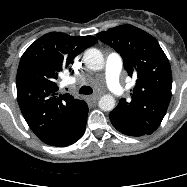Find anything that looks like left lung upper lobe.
Returning a JSON list of instances; mask_svg holds the SVG:
<instances>
[{
    "mask_svg": "<svg viewBox=\"0 0 187 187\" xmlns=\"http://www.w3.org/2000/svg\"><path fill=\"white\" fill-rule=\"evenodd\" d=\"M96 36L122 56L128 75L137 78L131 101L120 99L112 112L147 134L153 133L171 99V67L165 53L153 36L132 25L111 28Z\"/></svg>",
    "mask_w": 187,
    "mask_h": 187,
    "instance_id": "obj_1",
    "label": "left lung upper lobe"
}]
</instances>
